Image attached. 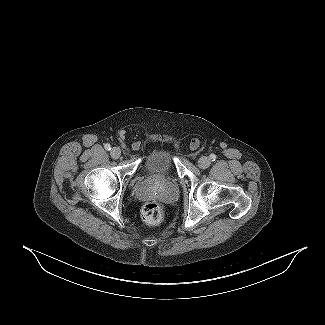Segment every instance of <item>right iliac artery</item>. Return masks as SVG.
Here are the masks:
<instances>
[{
    "label": "right iliac artery",
    "mask_w": 325,
    "mask_h": 325,
    "mask_svg": "<svg viewBox=\"0 0 325 325\" xmlns=\"http://www.w3.org/2000/svg\"><path fill=\"white\" fill-rule=\"evenodd\" d=\"M104 147H105V149L108 150V151L111 150V146H110V144H105Z\"/></svg>",
    "instance_id": "82829eb1"
}]
</instances>
